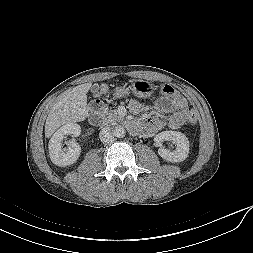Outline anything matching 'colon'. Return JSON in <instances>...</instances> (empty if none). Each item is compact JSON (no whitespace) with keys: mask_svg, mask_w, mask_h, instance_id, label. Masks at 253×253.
Returning a JSON list of instances; mask_svg holds the SVG:
<instances>
[{"mask_svg":"<svg viewBox=\"0 0 253 253\" xmlns=\"http://www.w3.org/2000/svg\"><path fill=\"white\" fill-rule=\"evenodd\" d=\"M160 90L164 95H167V96H174L176 94L175 88L169 84L162 85ZM188 121L192 125L196 124L198 121L197 113L194 111L190 112L189 117H188Z\"/></svg>","mask_w":253,"mask_h":253,"instance_id":"1","label":"colon"}]
</instances>
